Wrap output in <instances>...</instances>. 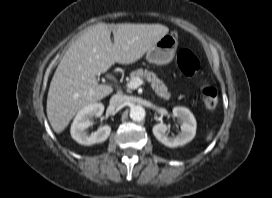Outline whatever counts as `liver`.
<instances>
[{
    "label": "liver",
    "mask_w": 272,
    "mask_h": 198,
    "mask_svg": "<svg viewBox=\"0 0 272 198\" xmlns=\"http://www.w3.org/2000/svg\"><path fill=\"white\" fill-rule=\"evenodd\" d=\"M168 32L161 24L98 23L89 27L66 51L51 80L47 117L53 130L61 133L82 108L112 93L111 86L98 84L97 74L115 63L138 61Z\"/></svg>",
    "instance_id": "1"
}]
</instances>
